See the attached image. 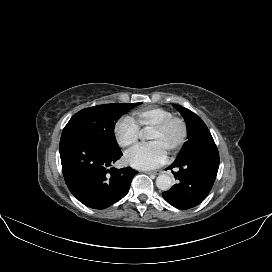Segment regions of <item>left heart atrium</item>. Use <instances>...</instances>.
I'll return each instance as SVG.
<instances>
[{"label": "left heart atrium", "instance_id": "1", "mask_svg": "<svg viewBox=\"0 0 272 272\" xmlns=\"http://www.w3.org/2000/svg\"><path fill=\"white\" fill-rule=\"evenodd\" d=\"M167 152L158 142H151L132 150L127 155V161L138 169H153L166 160Z\"/></svg>", "mask_w": 272, "mask_h": 272}]
</instances>
